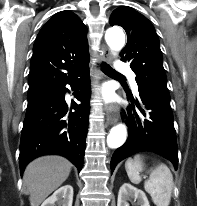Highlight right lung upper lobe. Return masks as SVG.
I'll return each instance as SVG.
<instances>
[{"mask_svg":"<svg viewBox=\"0 0 197 206\" xmlns=\"http://www.w3.org/2000/svg\"><path fill=\"white\" fill-rule=\"evenodd\" d=\"M86 33L73 12L55 14L35 40L28 91L57 90L82 72L90 60Z\"/></svg>","mask_w":197,"mask_h":206,"instance_id":"obj_1","label":"right lung upper lobe"}]
</instances>
